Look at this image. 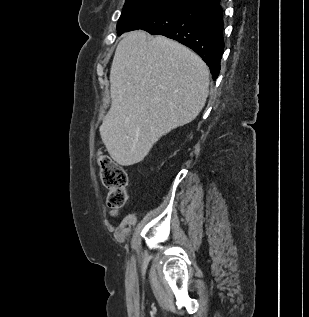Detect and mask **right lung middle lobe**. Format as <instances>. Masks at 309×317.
Segmentation results:
<instances>
[{"label": "right lung middle lobe", "mask_w": 309, "mask_h": 317, "mask_svg": "<svg viewBox=\"0 0 309 317\" xmlns=\"http://www.w3.org/2000/svg\"><path fill=\"white\" fill-rule=\"evenodd\" d=\"M180 0H126L117 24L118 33L124 31L136 19Z\"/></svg>", "instance_id": "obj_1"}]
</instances>
